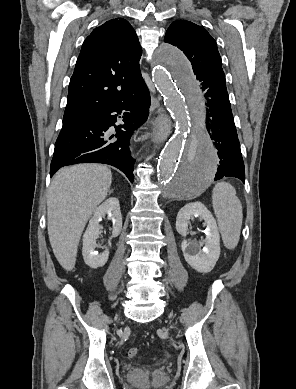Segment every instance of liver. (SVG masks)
Masks as SVG:
<instances>
[{
  "label": "liver",
  "instance_id": "1",
  "mask_svg": "<svg viewBox=\"0 0 296 389\" xmlns=\"http://www.w3.org/2000/svg\"><path fill=\"white\" fill-rule=\"evenodd\" d=\"M111 170L98 164H78L58 171L47 196L49 241L60 265L74 268L77 248L90 216L107 197Z\"/></svg>",
  "mask_w": 296,
  "mask_h": 389
}]
</instances>
